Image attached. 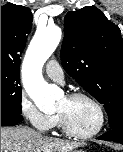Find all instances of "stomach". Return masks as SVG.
Returning <instances> with one entry per match:
<instances>
[{
    "mask_svg": "<svg viewBox=\"0 0 123 152\" xmlns=\"http://www.w3.org/2000/svg\"><path fill=\"white\" fill-rule=\"evenodd\" d=\"M72 152H85V151L81 149H77V150H73Z\"/></svg>",
    "mask_w": 123,
    "mask_h": 152,
    "instance_id": "0dacf381",
    "label": "stomach"
}]
</instances>
